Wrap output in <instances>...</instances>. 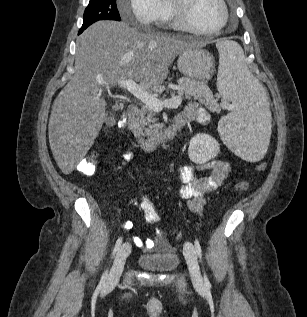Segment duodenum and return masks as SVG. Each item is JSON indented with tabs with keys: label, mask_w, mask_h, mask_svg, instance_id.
Masks as SVG:
<instances>
[{
	"label": "duodenum",
	"mask_w": 307,
	"mask_h": 317,
	"mask_svg": "<svg viewBox=\"0 0 307 317\" xmlns=\"http://www.w3.org/2000/svg\"><path fill=\"white\" fill-rule=\"evenodd\" d=\"M138 112V105L131 104L127 109L126 119L129 122L128 128L131 132V135L135 139L138 147L142 150H148L156 145H159L171 139L187 121L186 118L178 116L167 129H165L164 131L155 136L147 137L142 133L137 123Z\"/></svg>",
	"instance_id": "obj_1"
}]
</instances>
